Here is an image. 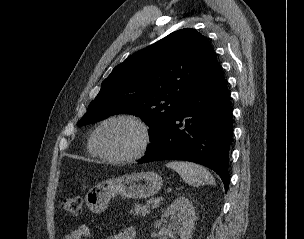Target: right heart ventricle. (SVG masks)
Here are the masks:
<instances>
[{
	"mask_svg": "<svg viewBox=\"0 0 304 239\" xmlns=\"http://www.w3.org/2000/svg\"><path fill=\"white\" fill-rule=\"evenodd\" d=\"M88 152H89V154H90L91 156H93V157H97V156H98V155L95 153V151L93 150L90 141L88 142Z\"/></svg>",
	"mask_w": 304,
	"mask_h": 239,
	"instance_id": "right-heart-ventricle-1",
	"label": "right heart ventricle"
}]
</instances>
